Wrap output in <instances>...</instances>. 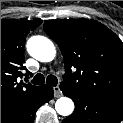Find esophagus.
<instances>
[{"instance_id": "esophagus-1", "label": "esophagus", "mask_w": 123, "mask_h": 123, "mask_svg": "<svg viewBox=\"0 0 123 123\" xmlns=\"http://www.w3.org/2000/svg\"><path fill=\"white\" fill-rule=\"evenodd\" d=\"M53 91H54V97L55 98H59L62 96V91L60 90L59 86H55L53 88Z\"/></svg>"}]
</instances>
